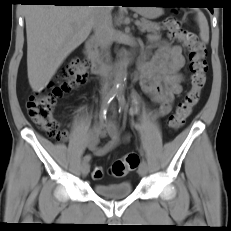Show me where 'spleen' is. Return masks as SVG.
<instances>
[{
    "mask_svg": "<svg viewBox=\"0 0 231 231\" xmlns=\"http://www.w3.org/2000/svg\"><path fill=\"white\" fill-rule=\"evenodd\" d=\"M197 22L200 28V38L203 43L209 42V26L206 17L203 13L198 11L197 13Z\"/></svg>",
    "mask_w": 231,
    "mask_h": 231,
    "instance_id": "spleen-1",
    "label": "spleen"
}]
</instances>
